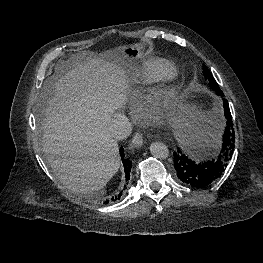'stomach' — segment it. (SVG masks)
<instances>
[{"label": "stomach", "instance_id": "0dacf381", "mask_svg": "<svg viewBox=\"0 0 263 263\" xmlns=\"http://www.w3.org/2000/svg\"><path fill=\"white\" fill-rule=\"evenodd\" d=\"M144 52V46L141 44H131L123 46L121 49V54L125 56L129 61H137L142 58ZM194 123V122H193ZM194 124H200L198 120Z\"/></svg>", "mask_w": 263, "mask_h": 263}]
</instances>
